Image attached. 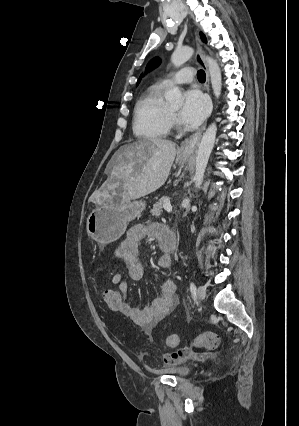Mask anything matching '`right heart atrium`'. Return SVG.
I'll list each match as a JSON object with an SVG mask.
<instances>
[{"label": "right heart atrium", "mask_w": 299, "mask_h": 426, "mask_svg": "<svg viewBox=\"0 0 299 426\" xmlns=\"http://www.w3.org/2000/svg\"><path fill=\"white\" fill-rule=\"evenodd\" d=\"M173 122H175L176 120H175V118H173V120H172Z\"/></svg>", "instance_id": "right-heart-atrium-1"}]
</instances>
